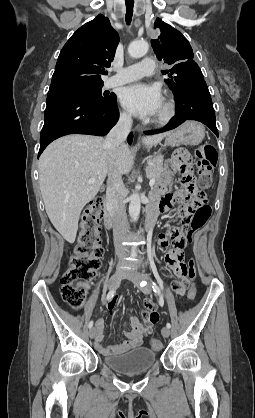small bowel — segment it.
<instances>
[{
	"label": "small bowel",
	"instance_id": "1",
	"mask_svg": "<svg viewBox=\"0 0 255 418\" xmlns=\"http://www.w3.org/2000/svg\"><path fill=\"white\" fill-rule=\"evenodd\" d=\"M170 160L161 184L152 195L158 201L155 207L161 213L171 212L177 203H182L191 195L197 193L196 183L189 171V163H193L194 160L193 154H189L187 147H174ZM177 172L181 173L183 186L174 192H170L168 186ZM180 214L185 217V210L182 209ZM187 234H190L189 228L175 227L170 230V233H161L158 237L159 246L164 248L168 271L173 273L172 277L174 280H178L173 281L171 284L172 289L176 292V300H185V291L189 288L190 276L188 274V266L185 263L186 242L184 241ZM116 304V299L108 300L107 309L110 314L114 313ZM145 307L144 319L146 326H143L137 317H131L129 329L124 331L127 340L116 345L105 346L103 344L104 320L98 319L95 325L94 336L96 349L102 355L107 356L121 354L140 346L144 336L151 332L152 324L162 318L161 311H157L151 301H146Z\"/></svg>",
	"mask_w": 255,
	"mask_h": 418
}]
</instances>
